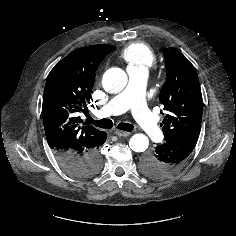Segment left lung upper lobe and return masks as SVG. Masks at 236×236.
Instances as JSON below:
<instances>
[{"label":"left lung upper lobe","instance_id":"5c2ea615","mask_svg":"<svg viewBox=\"0 0 236 236\" xmlns=\"http://www.w3.org/2000/svg\"><path fill=\"white\" fill-rule=\"evenodd\" d=\"M166 82L160 102L168 112L163 120L165 141L198 136L202 120V94L194 66L176 48L164 50Z\"/></svg>","mask_w":236,"mask_h":236}]
</instances>
